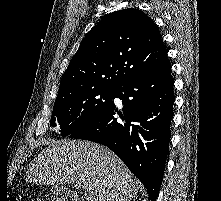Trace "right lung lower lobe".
Instances as JSON below:
<instances>
[{
  "label": "right lung lower lobe",
  "mask_w": 221,
  "mask_h": 201,
  "mask_svg": "<svg viewBox=\"0 0 221 201\" xmlns=\"http://www.w3.org/2000/svg\"><path fill=\"white\" fill-rule=\"evenodd\" d=\"M173 85L167 59L153 71L115 89L114 98L122 100V112L112 101L102 113L69 135L110 148L143 183L150 201L158 196L169 152Z\"/></svg>",
  "instance_id": "right-lung-lower-lobe-1"
}]
</instances>
